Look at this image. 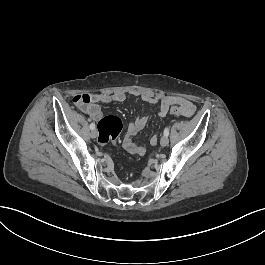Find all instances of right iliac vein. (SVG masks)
Masks as SVG:
<instances>
[{"label":"right iliac vein","mask_w":265,"mask_h":265,"mask_svg":"<svg viewBox=\"0 0 265 265\" xmlns=\"http://www.w3.org/2000/svg\"><path fill=\"white\" fill-rule=\"evenodd\" d=\"M97 136H98V132H97V130L93 129V130L91 131V137H92V138H96Z\"/></svg>","instance_id":"obj_1"}]
</instances>
